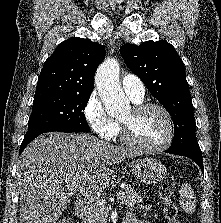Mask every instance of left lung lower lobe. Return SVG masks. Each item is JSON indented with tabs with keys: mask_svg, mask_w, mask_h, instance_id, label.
<instances>
[{
	"mask_svg": "<svg viewBox=\"0 0 221 223\" xmlns=\"http://www.w3.org/2000/svg\"><path fill=\"white\" fill-rule=\"evenodd\" d=\"M165 152L175 154V155L185 156L192 159L204 173L202 153L200 149H196V148L170 149L169 148Z\"/></svg>",
	"mask_w": 221,
	"mask_h": 223,
	"instance_id": "0a47b994",
	"label": "left lung lower lobe"
}]
</instances>
